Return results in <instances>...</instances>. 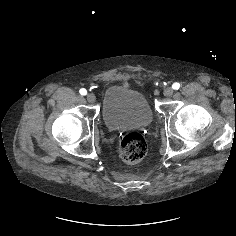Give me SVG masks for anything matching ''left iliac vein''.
<instances>
[{
    "mask_svg": "<svg viewBox=\"0 0 236 236\" xmlns=\"http://www.w3.org/2000/svg\"><path fill=\"white\" fill-rule=\"evenodd\" d=\"M173 93H174V90H173V88H171V87H168V88H166V89L164 90V96H166V97L172 96Z\"/></svg>",
    "mask_w": 236,
    "mask_h": 236,
    "instance_id": "4c4485c4",
    "label": "left iliac vein"
}]
</instances>
